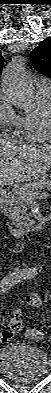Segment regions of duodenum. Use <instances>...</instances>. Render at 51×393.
I'll return each instance as SVG.
<instances>
[{
  "mask_svg": "<svg viewBox=\"0 0 51 393\" xmlns=\"http://www.w3.org/2000/svg\"><path fill=\"white\" fill-rule=\"evenodd\" d=\"M7 200H8L7 193L0 192V202L2 204H5L7 202ZM45 225L46 224L43 222H37L34 225H31V226L23 228V229L9 227V231L13 236L20 237V236L30 233V232L40 231L45 227Z\"/></svg>",
  "mask_w": 51,
  "mask_h": 393,
  "instance_id": "1",
  "label": "duodenum"
}]
</instances>
